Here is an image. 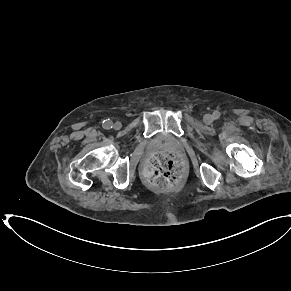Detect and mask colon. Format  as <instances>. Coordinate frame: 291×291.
I'll return each instance as SVG.
<instances>
[{
  "label": "colon",
  "mask_w": 291,
  "mask_h": 291,
  "mask_svg": "<svg viewBox=\"0 0 291 291\" xmlns=\"http://www.w3.org/2000/svg\"><path fill=\"white\" fill-rule=\"evenodd\" d=\"M179 171V160L170 153L152 156L144 169L148 181L160 189L173 186L177 181Z\"/></svg>",
  "instance_id": "obj_1"
}]
</instances>
